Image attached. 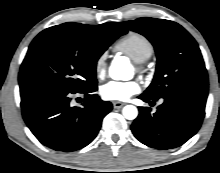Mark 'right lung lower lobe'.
<instances>
[{"instance_id": "obj_1", "label": "right lung lower lobe", "mask_w": 220, "mask_h": 173, "mask_svg": "<svg viewBox=\"0 0 220 173\" xmlns=\"http://www.w3.org/2000/svg\"><path fill=\"white\" fill-rule=\"evenodd\" d=\"M97 86L70 91L45 83L20 84L21 108L25 123L45 146L71 152L88 145L98 134L102 119L112 104L96 94ZM80 93L82 107H73L74 94Z\"/></svg>"}]
</instances>
